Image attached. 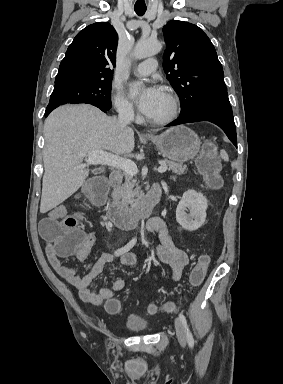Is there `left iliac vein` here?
I'll list each match as a JSON object with an SVG mask.
<instances>
[{"mask_svg": "<svg viewBox=\"0 0 283 384\" xmlns=\"http://www.w3.org/2000/svg\"><path fill=\"white\" fill-rule=\"evenodd\" d=\"M174 325H175V330H176V335H177L178 341H179L180 345L184 347L186 345V342H187V337H186V333L184 330V326L182 325L181 321L178 318L175 319Z\"/></svg>", "mask_w": 283, "mask_h": 384, "instance_id": "4c4485c4", "label": "left iliac vein"}]
</instances>
